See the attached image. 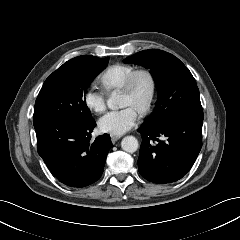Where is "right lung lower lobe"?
<instances>
[{
  "label": "right lung lower lobe",
  "instance_id": "1",
  "mask_svg": "<svg viewBox=\"0 0 240 240\" xmlns=\"http://www.w3.org/2000/svg\"><path fill=\"white\" fill-rule=\"evenodd\" d=\"M95 126L94 119L80 123L53 117L34 119L38 153L61 183L82 188L101 177L112 143L108 134L91 141Z\"/></svg>",
  "mask_w": 240,
  "mask_h": 240
}]
</instances>
